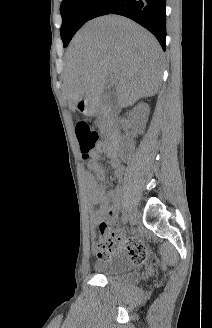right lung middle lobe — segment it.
<instances>
[{"instance_id":"1","label":"right lung middle lobe","mask_w":212,"mask_h":328,"mask_svg":"<svg viewBox=\"0 0 212 328\" xmlns=\"http://www.w3.org/2000/svg\"><path fill=\"white\" fill-rule=\"evenodd\" d=\"M101 0H63L60 6L62 16L61 38L64 47L74 34L91 19V14Z\"/></svg>"}]
</instances>
